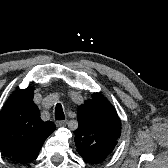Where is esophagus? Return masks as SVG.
I'll use <instances>...</instances> for the list:
<instances>
[{"label":"esophagus","mask_w":168,"mask_h":168,"mask_svg":"<svg viewBox=\"0 0 168 168\" xmlns=\"http://www.w3.org/2000/svg\"><path fill=\"white\" fill-rule=\"evenodd\" d=\"M58 127H64L67 125V120L56 121Z\"/></svg>","instance_id":"1"}]
</instances>
